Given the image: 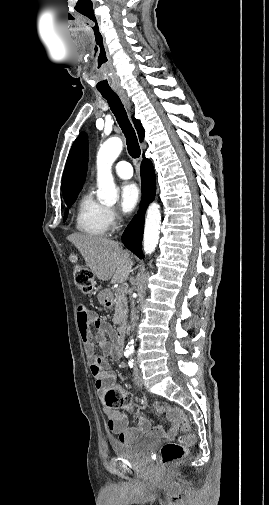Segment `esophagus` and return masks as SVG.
Wrapping results in <instances>:
<instances>
[{
	"mask_svg": "<svg viewBox=\"0 0 269 505\" xmlns=\"http://www.w3.org/2000/svg\"><path fill=\"white\" fill-rule=\"evenodd\" d=\"M117 93L120 96V98L122 99V101L124 102L127 109L130 110L131 104H130V101H129V98H128L126 92L123 89H118Z\"/></svg>",
	"mask_w": 269,
	"mask_h": 505,
	"instance_id": "34e87169",
	"label": "esophagus"
}]
</instances>
